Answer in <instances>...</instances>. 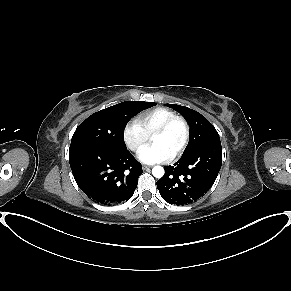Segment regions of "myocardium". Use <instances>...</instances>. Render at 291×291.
I'll return each mask as SVG.
<instances>
[{"label": "myocardium", "mask_w": 291, "mask_h": 291, "mask_svg": "<svg viewBox=\"0 0 291 291\" xmlns=\"http://www.w3.org/2000/svg\"><path fill=\"white\" fill-rule=\"evenodd\" d=\"M176 123H180L182 125L183 130H184V137H183V140H182L181 144L179 145L177 150L174 152L173 158H176V157L180 156L184 152V150L186 149V147H187V145L189 143V140H190V127H189V124L186 121V119L181 117V116L176 115V116L166 120L153 133V136L157 135V134H164V133L168 132L172 128V126L174 124H176Z\"/></svg>", "instance_id": "obj_1"}]
</instances>
